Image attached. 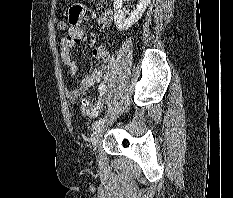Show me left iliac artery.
<instances>
[{"label":"left iliac artery","mask_w":233,"mask_h":198,"mask_svg":"<svg viewBox=\"0 0 233 198\" xmlns=\"http://www.w3.org/2000/svg\"><path fill=\"white\" fill-rule=\"evenodd\" d=\"M105 88H106V85L102 84L99 89L102 91V90H105ZM104 122H105L104 118H100V119L96 120L93 124V128L95 129V128L99 127L100 125L104 124Z\"/></svg>","instance_id":"left-iliac-artery-1"}]
</instances>
